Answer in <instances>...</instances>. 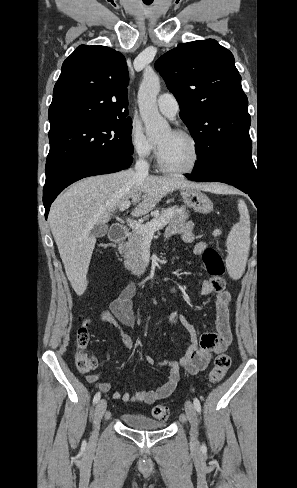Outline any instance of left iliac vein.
<instances>
[{"mask_svg": "<svg viewBox=\"0 0 297 488\" xmlns=\"http://www.w3.org/2000/svg\"><path fill=\"white\" fill-rule=\"evenodd\" d=\"M185 412L191 424L190 445L194 451L199 450L198 441V417L194 405L190 401L185 402Z\"/></svg>", "mask_w": 297, "mask_h": 488, "instance_id": "1", "label": "left iliac vein"}]
</instances>
